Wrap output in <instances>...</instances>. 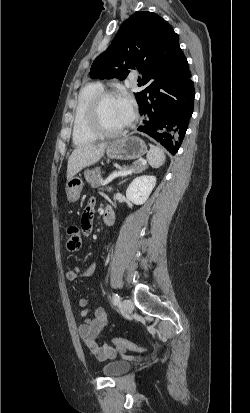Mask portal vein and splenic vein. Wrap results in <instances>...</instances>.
<instances>
[{"instance_id": "18ae733b", "label": "portal vein and splenic vein", "mask_w": 250, "mask_h": 413, "mask_svg": "<svg viewBox=\"0 0 250 413\" xmlns=\"http://www.w3.org/2000/svg\"><path fill=\"white\" fill-rule=\"evenodd\" d=\"M132 172V170H119L118 172H114V173H112L107 179H105V180H102L101 181V185L102 186H104V185H107V184H109L110 182H112L115 178H117V177H119V176H124V175H127V174H129V173H131Z\"/></svg>"}]
</instances>
